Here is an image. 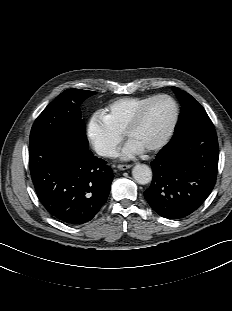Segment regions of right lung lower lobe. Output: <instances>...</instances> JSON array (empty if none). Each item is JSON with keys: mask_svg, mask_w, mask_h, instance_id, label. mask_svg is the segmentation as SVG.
I'll list each match as a JSON object with an SVG mask.
<instances>
[{"mask_svg": "<svg viewBox=\"0 0 232 311\" xmlns=\"http://www.w3.org/2000/svg\"><path fill=\"white\" fill-rule=\"evenodd\" d=\"M29 166L40 202L66 224L93 219L110 193L112 169L69 134L30 140Z\"/></svg>", "mask_w": 232, "mask_h": 311, "instance_id": "98d812e1", "label": "right lung lower lobe"}]
</instances>
